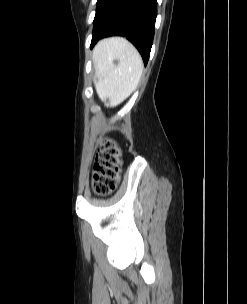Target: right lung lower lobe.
<instances>
[{"mask_svg": "<svg viewBox=\"0 0 247 304\" xmlns=\"http://www.w3.org/2000/svg\"><path fill=\"white\" fill-rule=\"evenodd\" d=\"M157 16V0H98L91 48L107 36H125L149 59Z\"/></svg>", "mask_w": 247, "mask_h": 304, "instance_id": "right-lung-lower-lobe-1", "label": "right lung lower lobe"}]
</instances>
